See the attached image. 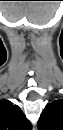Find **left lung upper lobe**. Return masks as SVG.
I'll return each mask as SVG.
<instances>
[{
    "instance_id": "left-lung-upper-lobe-1",
    "label": "left lung upper lobe",
    "mask_w": 63,
    "mask_h": 130,
    "mask_svg": "<svg viewBox=\"0 0 63 130\" xmlns=\"http://www.w3.org/2000/svg\"><path fill=\"white\" fill-rule=\"evenodd\" d=\"M39 130H62L63 129V100L53 101L46 105L39 121Z\"/></svg>"
}]
</instances>
